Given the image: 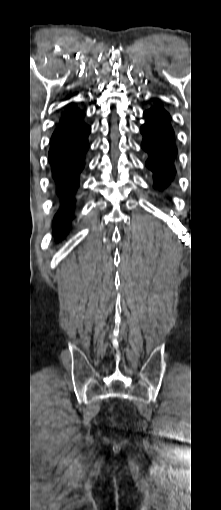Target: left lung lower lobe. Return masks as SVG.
Returning <instances> with one entry per match:
<instances>
[{
	"mask_svg": "<svg viewBox=\"0 0 221 510\" xmlns=\"http://www.w3.org/2000/svg\"><path fill=\"white\" fill-rule=\"evenodd\" d=\"M146 123L140 128L143 135L141 147L149 158L146 166L153 173L154 186L158 189L166 188L175 175L174 159L177 149L174 144L173 129L162 125L148 112L144 113Z\"/></svg>",
	"mask_w": 221,
	"mask_h": 510,
	"instance_id": "left-lung-lower-lobe-1",
	"label": "left lung lower lobe"
}]
</instances>
